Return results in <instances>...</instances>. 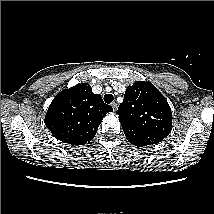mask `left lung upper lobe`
Here are the masks:
<instances>
[{
    "label": "left lung upper lobe",
    "mask_w": 214,
    "mask_h": 214,
    "mask_svg": "<svg viewBox=\"0 0 214 214\" xmlns=\"http://www.w3.org/2000/svg\"><path fill=\"white\" fill-rule=\"evenodd\" d=\"M119 115L127 140L135 146L161 142L172 129V113L165 97L150 82L127 87Z\"/></svg>",
    "instance_id": "left-lung-upper-lobe-1"
}]
</instances>
